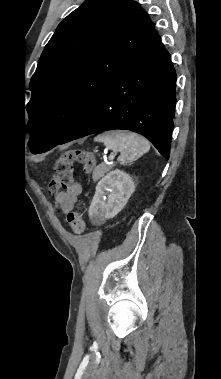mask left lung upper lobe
I'll return each mask as SVG.
<instances>
[{"label": "left lung upper lobe", "instance_id": "obj_1", "mask_svg": "<svg viewBox=\"0 0 221 379\" xmlns=\"http://www.w3.org/2000/svg\"><path fill=\"white\" fill-rule=\"evenodd\" d=\"M132 0H86L57 27L30 81L28 145L55 147L154 32Z\"/></svg>", "mask_w": 221, "mask_h": 379}]
</instances>
